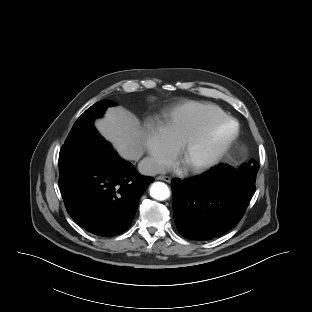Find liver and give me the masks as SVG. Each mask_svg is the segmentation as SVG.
Instances as JSON below:
<instances>
[{
  "mask_svg": "<svg viewBox=\"0 0 312 312\" xmlns=\"http://www.w3.org/2000/svg\"><path fill=\"white\" fill-rule=\"evenodd\" d=\"M95 126L123 159L138 161L143 156L144 131L131 112L122 107L108 108Z\"/></svg>",
  "mask_w": 312,
  "mask_h": 312,
  "instance_id": "obj_1",
  "label": "liver"
}]
</instances>
